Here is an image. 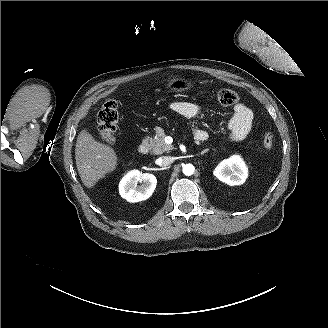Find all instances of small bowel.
Listing matches in <instances>:
<instances>
[{"label": "small bowel", "mask_w": 328, "mask_h": 328, "mask_svg": "<svg viewBox=\"0 0 328 328\" xmlns=\"http://www.w3.org/2000/svg\"><path fill=\"white\" fill-rule=\"evenodd\" d=\"M169 108L184 117L192 118L200 114L201 108L191 102H174ZM253 111L245 104L238 103L233 107V113L227 122V128L230 130L231 139L235 142L243 141L250 133L253 125ZM196 134H204L203 130H196Z\"/></svg>", "instance_id": "obj_1"}]
</instances>
